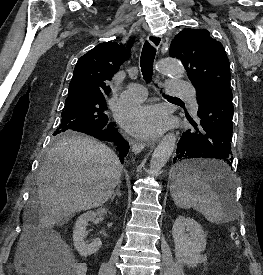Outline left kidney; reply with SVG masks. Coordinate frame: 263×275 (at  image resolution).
<instances>
[{
  "instance_id": "obj_1",
  "label": "left kidney",
  "mask_w": 263,
  "mask_h": 275,
  "mask_svg": "<svg viewBox=\"0 0 263 275\" xmlns=\"http://www.w3.org/2000/svg\"><path fill=\"white\" fill-rule=\"evenodd\" d=\"M175 257L179 263L196 267L206 258L201 255L206 248V234L195 220L179 216L172 228Z\"/></svg>"
}]
</instances>
